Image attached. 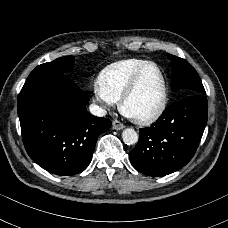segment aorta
Masks as SVG:
<instances>
[{
    "mask_svg": "<svg viewBox=\"0 0 228 228\" xmlns=\"http://www.w3.org/2000/svg\"><path fill=\"white\" fill-rule=\"evenodd\" d=\"M123 142L127 145H133L138 142V134L132 128H127L122 133Z\"/></svg>",
    "mask_w": 228,
    "mask_h": 228,
    "instance_id": "762f6f07",
    "label": "aorta"
}]
</instances>
